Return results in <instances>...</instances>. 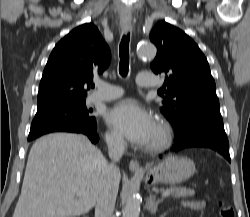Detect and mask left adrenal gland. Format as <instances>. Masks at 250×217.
Wrapping results in <instances>:
<instances>
[{
    "label": "left adrenal gland",
    "instance_id": "1",
    "mask_svg": "<svg viewBox=\"0 0 250 217\" xmlns=\"http://www.w3.org/2000/svg\"><path fill=\"white\" fill-rule=\"evenodd\" d=\"M161 200H156L155 195H150L149 199L147 200V209L151 214H155L158 210V205Z\"/></svg>",
    "mask_w": 250,
    "mask_h": 217
}]
</instances>
